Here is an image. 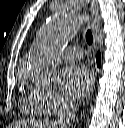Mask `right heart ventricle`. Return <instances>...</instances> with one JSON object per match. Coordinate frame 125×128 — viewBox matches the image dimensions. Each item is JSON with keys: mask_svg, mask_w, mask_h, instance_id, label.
Listing matches in <instances>:
<instances>
[{"mask_svg": "<svg viewBox=\"0 0 125 128\" xmlns=\"http://www.w3.org/2000/svg\"><path fill=\"white\" fill-rule=\"evenodd\" d=\"M22 110L32 116H45L47 111L34 97L32 91L22 100Z\"/></svg>", "mask_w": 125, "mask_h": 128, "instance_id": "right-heart-ventricle-1", "label": "right heart ventricle"}]
</instances>
